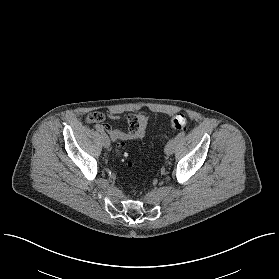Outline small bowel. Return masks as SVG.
I'll return each mask as SVG.
<instances>
[{"label":"small bowel","mask_w":279,"mask_h":279,"mask_svg":"<svg viewBox=\"0 0 279 279\" xmlns=\"http://www.w3.org/2000/svg\"><path fill=\"white\" fill-rule=\"evenodd\" d=\"M108 117L112 120L120 118L115 113L103 114V113H91L87 116V121L91 124L97 123L101 128L107 132L113 141H125L136 140L144 136L147 126V117L144 115H130L127 117V130L115 129L109 126L104 120Z\"/></svg>","instance_id":"obj_1"}]
</instances>
